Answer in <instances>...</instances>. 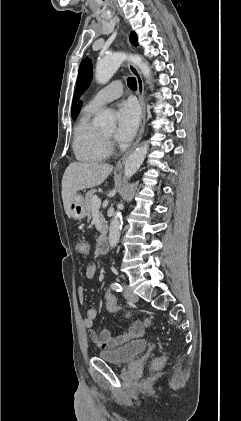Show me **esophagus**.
Masks as SVG:
<instances>
[{
    "mask_svg": "<svg viewBox=\"0 0 241 421\" xmlns=\"http://www.w3.org/2000/svg\"><path fill=\"white\" fill-rule=\"evenodd\" d=\"M128 68H129L130 72L132 73V75L136 78V81H137V95H138L139 102H140V105H141L142 114H141V121H140V130H139L137 139L134 142L131 149L118 160V162L116 163L117 169H121L124 166L128 155L136 148V146L140 142V140L142 138V135L144 133V129H145L146 105H145V97H144L143 79H142V76H141L139 70L137 69V67L132 62H128Z\"/></svg>",
    "mask_w": 241,
    "mask_h": 421,
    "instance_id": "1",
    "label": "esophagus"
}]
</instances>
